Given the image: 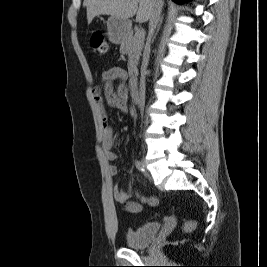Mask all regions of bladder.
Returning a JSON list of instances; mask_svg holds the SVG:
<instances>
[{
    "mask_svg": "<svg viewBox=\"0 0 267 267\" xmlns=\"http://www.w3.org/2000/svg\"><path fill=\"white\" fill-rule=\"evenodd\" d=\"M160 228V224L152 222L128 230L125 236L127 247L131 249H143L149 246L160 232Z\"/></svg>",
    "mask_w": 267,
    "mask_h": 267,
    "instance_id": "1",
    "label": "bladder"
}]
</instances>
